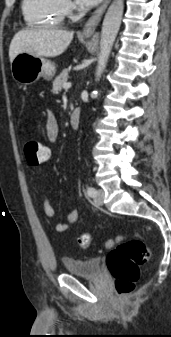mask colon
Instances as JSON below:
<instances>
[{
	"label": "colon",
	"mask_w": 171,
	"mask_h": 337,
	"mask_svg": "<svg viewBox=\"0 0 171 337\" xmlns=\"http://www.w3.org/2000/svg\"><path fill=\"white\" fill-rule=\"evenodd\" d=\"M24 153L29 164L38 165L48 158L49 151L43 142L30 138L24 144ZM90 242V234L84 233L76 239L75 244L86 249ZM106 247L110 249L107 267L115 280L116 291L120 295H128L134 291L139 280V266L149 258V248L139 239L121 241L120 237L108 240Z\"/></svg>",
	"instance_id": "5ec220e1"
}]
</instances>
